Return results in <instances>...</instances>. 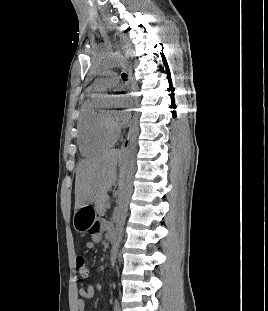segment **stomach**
<instances>
[{"label": "stomach", "instance_id": "obj_1", "mask_svg": "<svg viewBox=\"0 0 268 311\" xmlns=\"http://www.w3.org/2000/svg\"><path fill=\"white\" fill-rule=\"evenodd\" d=\"M95 221L94 209L88 204L74 212L73 226L77 232L88 231Z\"/></svg>", "mask_w": 268, "mask_h": 311}]
</instances>
